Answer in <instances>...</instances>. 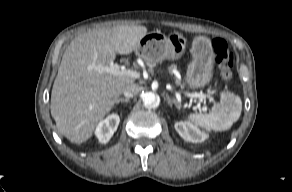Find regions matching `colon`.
I'll return each mask as SVG.
<instances>
[{"label":"colon","mask_w":292,"mask_h":192,"mask_svg":"<svg viewBox=\"0 0 292 192\" xmlns=\"http://www.w3.org/2000/svg\"><path fill=\"white\" fill-rule=\"evenodd\" d=\"M212 50L215 55L216 66L222 74L225 83H228L232 77V66L234 56L228 49L226 42L222 39L212 41Z\"/></svg>","instance_id":"obj_1"}]
</instances>
